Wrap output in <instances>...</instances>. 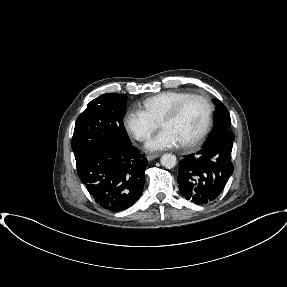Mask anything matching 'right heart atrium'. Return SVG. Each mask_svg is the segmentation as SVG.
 Masks as SVG:
<instances>
[{
    "mask_svg": "<svg viewBox=\"0 0 287 287\" xmlns=\"http://www.w3.org/2000/svg\"><path fill=\"white\" fill-rule=\"evenodd\" d=\"M123 122L126 131L141 142L149 139L157 127V122L141 109L128 110Z\"/></svg>",
    "mask_w": 287,
    "mask_h": 287,
    "instance_id": "d8ad5b80",
    "label": "right heart atrium"
}]
</instances>
